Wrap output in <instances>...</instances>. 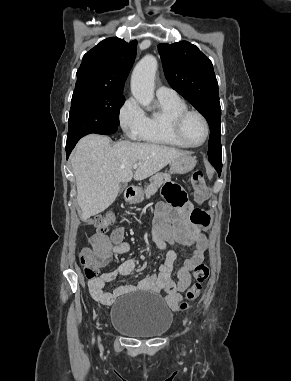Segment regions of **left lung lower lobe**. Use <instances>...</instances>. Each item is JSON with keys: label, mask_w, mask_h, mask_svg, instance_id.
Segmentation results:
<instances>
[{"label": "left lung lower lobe", "mask_w": 291, "mask_h": 381, "mask_svg": "<svg viewBox=\"0 0 291 381\" xmlns=\"http://www.w3.org/2000/svg\"><path fill=\"white\" fill-rule=\"evenodd\" d=\"M209 161L215 167V169L217 170V172H218V174L220 176L221 169H222V160H221V158H209Z\"/></svg>", "instance_id": "obj_1"}]
</instances>
